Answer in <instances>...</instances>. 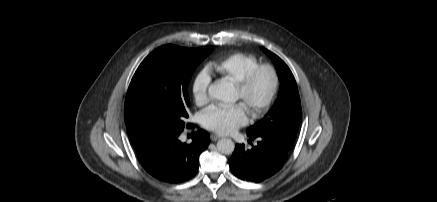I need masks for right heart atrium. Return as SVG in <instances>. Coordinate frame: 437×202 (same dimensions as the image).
<instances>
[{"label":"right heart atrium","instance_id":"1","mask_svg":"<svg viewBox=\"0 0 437 202\" xmlns=\"http://www.w3.org/2000/svg\"><path fill=\"white\" fill-rule=\"evenodd\" d=\"M211 84V76L207 69L200 70L194 77L192 83V94L198 105L208 102V90Z\"/></svg>","mask_w":437,"mask_h":202}]
</instances>
